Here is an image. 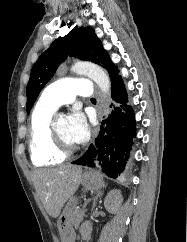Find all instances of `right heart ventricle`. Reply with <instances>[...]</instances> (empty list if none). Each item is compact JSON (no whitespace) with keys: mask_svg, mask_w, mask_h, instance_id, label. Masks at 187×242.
Here are the masks:
<instances>
[{"mask_svg":"<svg viewBox=\"0 0 187 242\" xmlns=\"http://www.w3.org/2000/svg\"><path fill=\"white\" fill-rule=\"evenodd\" d=\"M55 110L39 101L31 115L29 151L32 162L37 166L59 164L65 159L53 149L50 142L49 125Z\"/></svg>","mask_w":187,"mask_h":242,"instance_id":"right-heart-ventricle-1","label":"right heart ventricle"}]
</instances>
